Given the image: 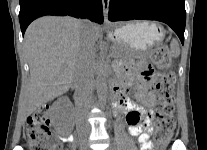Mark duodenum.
Returning <instances> with one entry per match:
<instances>
[{
	"label": "duodenum",
	"mask_w": 207,
	"mask_h": 150,
	"mask_svg": "<svg viewBox=\"0 0 207 150\" xmlns=\"http://www.w3.org/2000/svg\"><path fill=\"white\" fill-rule=\"evenodd\" d=\"M111 90H112V94H113V97H114V92L116 90V84H113L112 85Z\"/></svg>",
	"instance_id": "1"
}]
</instances>
